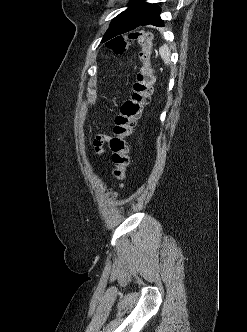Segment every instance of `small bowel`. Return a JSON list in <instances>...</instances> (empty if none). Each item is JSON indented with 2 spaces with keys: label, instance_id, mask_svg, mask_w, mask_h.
I'll return each instance as SVG.
<instances>
[{
  "label": "small bowel",
  "instance_id": "obj_1",
  "mask_svg": "<svg viewBox=\"0 0 247 332\" xmlns=\"http://www.w3.org/2000/svg\"><path fill=\"white\" fill-rule=\"evenodd\" d=\"M111 136L107 134H99L96 136L94 140V148L95 151L99 154L104 152L103 145L106 142H110Z\"/></svg>",
  "mask_w": 247,
  "mask_h": 332
}]
</instances>
